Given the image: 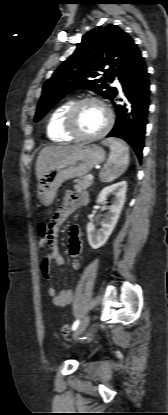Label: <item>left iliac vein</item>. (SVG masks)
<instances>
[{
    "instance_id": "4c4485c4",
    "label": "left iliac vein",
    "mask_w": 168,
    "mask_h": 415,
    "mask_svg": "<svg viewBox=\"0 0 168 415\" xmlns=\"http://www.w3.org/2000/svg\"><path fill=\"white\" fill-rule=\"evenodd\" d=\"M89 322H90V315H86L82 319L80 324L78 325L77 329L75 330L74 338L78 337L79 335H81L84 332V330L87 328Z\"/></svg>"
}]
</instances>
